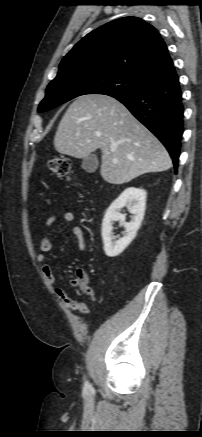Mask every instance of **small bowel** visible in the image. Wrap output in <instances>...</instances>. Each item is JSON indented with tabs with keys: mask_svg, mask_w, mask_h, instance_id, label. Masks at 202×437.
Segmentation results:
<instances>
[{
	"mask_svg": "<svg viewBox=\"0 0 202 437\" xmlns=\"http://www.w3.org/2000/svg\"><path fill=\"white\" fill-rule=\"evenodd\" d=\"M62 218L64 222L70 223L74 220V213L70 210H64L62 213ZM56 219L57 217L55 214L49 215L45 221V228L52 227L53 224L56 222ZM71 234L76 238L79 250L84 251L86 249V243L82 228L79 226H73L71 228ZM51 249V238L49 236L43 237L40 241L39 252L36 256V260L38 263L42 264V271L46 282L49 285L53 286L55 284V275L51 264L46 262L47 253ZM55 291L68 308L77 310L84 315L89 314V307L85 303L71 300L65 290L62 288H57Z\"/></svg>",
	"mask_w": 202,
	"mask_h": 437,
	"instance_id": "obj_1",
	"label": "small bowel"
}]
</instances>
